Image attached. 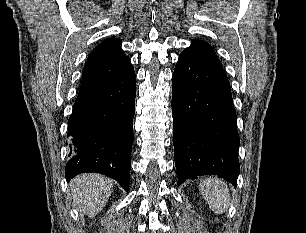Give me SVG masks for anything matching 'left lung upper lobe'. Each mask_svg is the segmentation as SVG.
<instances>
[{
    "label": "left lung upper lobe",
    "instance_id": "obj_1",
    "mask_svg": "<svg viewBox=\"0 0 306 233\" xmlns=\"http://www.w3.org/2000/svg\"><path fill=\"white\" fill-rule=\"evenodd\" d=\"M184 51L193 52L198 55L218 59L215 54V51L208 43H206L205 41L197 40V39L192 40L191 46L186 48Z\"/></svg>",
    "mask_w": 306,
    "mask_h": 233
}]
</instances>
